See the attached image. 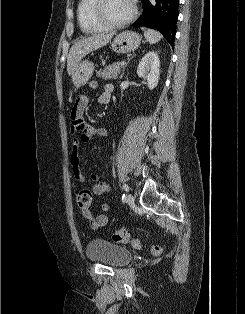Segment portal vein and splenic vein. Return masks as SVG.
Segmentation results:
<instances>
[{
    "label": "portal vein and splenic vein",
    "instance_id": "1",
    "mask_svg": "<svg viewBox=\"0 0 245 314\" xmlns=\"http://www.w3.org/2000/svg\"><path fill=\"white\" fill-rule=\"evenodd\" d=\"M124 65H125V61H122V62H121V66H124Z\"/></svg>",
    "mask_w": 245,
    "mask_h": 314
}]
</instances>
